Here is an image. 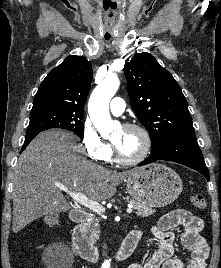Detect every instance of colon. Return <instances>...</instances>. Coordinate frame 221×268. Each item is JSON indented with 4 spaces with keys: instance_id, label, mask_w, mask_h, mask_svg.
Instances as JSON below:
<instances>
[{
    "instance_id": "5ec220e1",
    "label": "colon",
    "mask_w": 221,
    "mask_h": 268,
    "mask_svg": "<svg viewBox=\"0 0 221 268\" xmlns=\"http://www.w3.org/2000/svg\"><path fill=\"white\" fill-rule=\"evenodd\" d=\"M190 201L199 210L207 208V201L202 195L191 196ZM44 224L49 228H54L59 225V217L57 215H48L44 218Z\"/></svg>"
}]
</instances>
